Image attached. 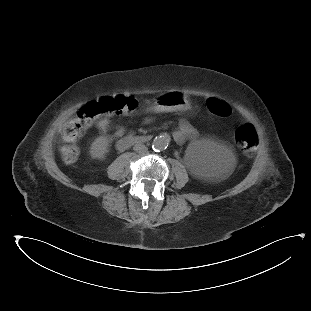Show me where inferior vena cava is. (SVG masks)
Instances as JSON below:
<instances>
[{
  "instance_id": "obj_1",
  "label": "inferior vena cava",
  "mask_w": 311,
  "mask_h": 311,
  "mask_svg": "<svg viewBox=\"0 0 311 311\" xmlns=\"http://www.w3.org/2000/svg\"><path fill=\"white\" fill-rule=\"evenodd\" d=\"M133 150L135 152L140 153V154H145L147 152L148 148L145 145L138 143V144L134 145Z\"/></svg>"
}]
</instances>
